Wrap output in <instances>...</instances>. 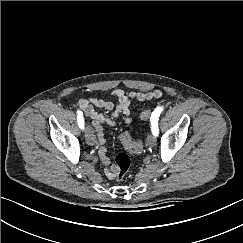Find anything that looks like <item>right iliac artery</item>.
I'll return each mask as SVG.
<instances>
[{"mask_svg": "<svg viewBox=\"0 0 243 243\" xmlns=\"http://www.w3.org/2000/svg\"><path fill=\"white\" fill-rule=\"evenodd\" d=\"M77 122H78L79 127L81 129H84L83 113L80 110L77 111Z\"/></svg>", "mask_w": 243, "mask_h": 243, "instance_id": "82829eb1", "label": "right iliac artery"}]
</instances>
